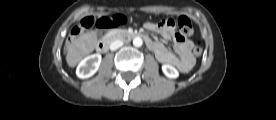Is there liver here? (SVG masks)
Wrapping results in <instances>:
<instances>
[{"instance_id":"obj_1","label":"liver","mask_w":276,"mask_h":120,"mask_svg":"<svg viewBox=\"0 0 276 120\" xmlns=\"http://www.w3.org/2000/svg\"><path fill=\"white\" fill-rule=\"evenodd\" d=\"M97 44L94 31L82 34L67 47L66 62L69 67H75L86 55L91 53Z\"/></svg>"}]
</instances>
